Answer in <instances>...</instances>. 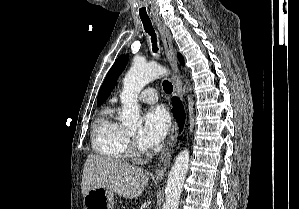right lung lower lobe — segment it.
<instances>
[{
	"label": "right lung lower lobe",
	"mask_w": 299,
	"mask_h": 209,
	"mask_svg": "<svg viewBox=\"0 0 299 209\" xmlns=\"http://www.w3.org/2000/svg\"><path fill=\"white\" fill-rule=\"evenodd\" d=\"M173 106H174V115L177 119V122L181 126L185 120V114L183 111L182 103L179 101L177 97L173 98Z\"/></svg>",
	"instance_id": "98d812e1"
}]
</instances>
